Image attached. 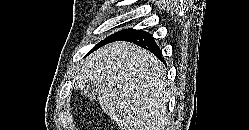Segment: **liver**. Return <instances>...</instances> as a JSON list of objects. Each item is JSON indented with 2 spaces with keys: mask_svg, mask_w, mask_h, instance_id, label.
I'll list each match as a JSON object with an SVG mask.
<instances>
[{
  "mask_svg": "<svg viewBox=\"0 0 249 130\" xmlns=\"http://www.w3.org/2000/svg\"><path fill=\"white\" fill-rule=\"evenodd\" d=\"M165 68L149 51L113 42L87 57L73 77L74 88L97 87L102 110L120 130H163L169 101Z\"/></svg>",
  "mask_w": 249,
  "mask_h": 130,
  "instance_id": "obj_1",
  "label": "liver"
}]
</instances>
